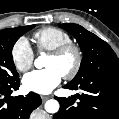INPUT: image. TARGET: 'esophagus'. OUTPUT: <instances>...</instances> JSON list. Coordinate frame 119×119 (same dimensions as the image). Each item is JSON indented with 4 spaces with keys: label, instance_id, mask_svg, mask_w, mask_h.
Masks as SVG:
<instances>
[{
    "label": "esophagus",
    "instance_id": "esophagus-1",
    "mask_svg": "<svg viewBox=\"0 0 119 119\" xmlns=\"http://www.w3.org/2000/svg\"><path fill=\"white\" fill-rule=\"evenodd\" d=\"M50 98V96H41V99L43 102H45L46 100H48Z\"/></svg>",
    "mask_w": 119,
    "mask_h": 119
}]
</instances>
